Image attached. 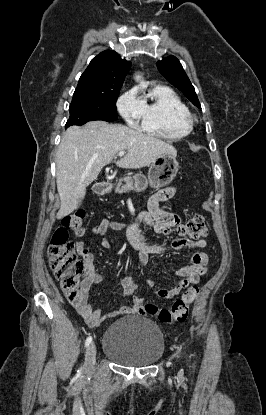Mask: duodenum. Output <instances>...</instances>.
Segmentation results:
<instances>
[{
    "instance_id": "duodenum-1",
    "label": "duodenum",
    "mask_w": 266,
    "mask_h": 415,
    "mask_svg": "<svg viewBox=\"0 0 266 415\" xmlns=\"http://www.w3.org/2000/svg\"><path fill=\"white\" fill-rule=\"evenodd\" d=\"M108 183L105 181H100L94 184L93 191L98 195H103L107 192Z\"/></svg>"
}]
</instances>
